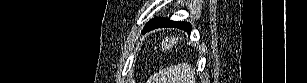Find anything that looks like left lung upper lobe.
I'll list each match as a JSON object with an SVG mask.
<instances>
[{"label": "left lung upper lobe", "instance_id": "left-lung-upper-lobe-1", "mask_svg": "<svg viewBox=\"0 0 307 83\" xmlns=\"http://www.w3.org/2000/svg\"><path fill=\"white\" fill-rule=\"evenodd\" d=\"M162 19H163V18H155V19H152V20H150V21L147 23V25L156 23V22H158V21H160V20H162Z\"/></svg>", "mask_w": 307, "mask_h": 83}]
</instances>
